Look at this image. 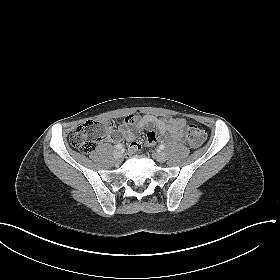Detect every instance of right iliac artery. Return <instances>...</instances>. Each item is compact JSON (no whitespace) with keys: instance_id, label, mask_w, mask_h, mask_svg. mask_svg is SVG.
<instances>
[{"instance_id":"82829eb1","label":"right iliac artery","mask_w":280,"mask_h":280,"mask_svg":"<svg viewBox=\"0 0 280 280\" xmlns=\"http://www.w3.org/2000/svg\"><path fill=\"white\" fill-rule=\"evenodd\" d=\"M116 148L121 149V148H123V145L119 143L116 145Z\"/></svg>"}]
</instances>
